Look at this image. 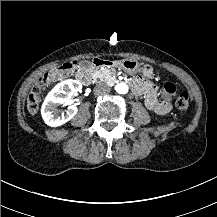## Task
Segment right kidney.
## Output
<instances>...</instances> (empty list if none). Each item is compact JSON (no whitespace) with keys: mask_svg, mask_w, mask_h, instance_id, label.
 Instances as JSON below:
<instances>
[{"mask_svg":"<svg viewBox=\"0 0 217 217\" xmlns=\"http://www.w3.org/2000/svg\"><path fill=\"white\" fill-rule=\"evenodd\" d=\"M82 85L75 80H68L64 83H60L45 99L42 106V117L44 122L50 127H59L70 121L78 112V108L75 105L69 104L70 98L79 90ZM63 104L67 106V112L64 114L57 107Z\"/></svg>","mask_w":217,"mask_h":217,"instance_id":"obj_1","label":"right kidney"}]
</instances>
